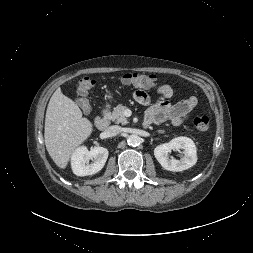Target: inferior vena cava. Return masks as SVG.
<instances>
[{
  "mask_svg": "<svg viewBox=\"0 0 253 253\" xmlns=\"http://www.w3.org/2000/svg\"><path fill=\"white\" fill-rule=\"evenodd\" d=\"M105 132L109 137L117 136L122 132V127L118 125H113L108 127Z\"/></svg>",
  "mask_w": 253,
  "mask_h": 253,
  "instance_id": "inferior-vena-cava-1",
  "label": "inferior vena cava"
}]
</instances>
